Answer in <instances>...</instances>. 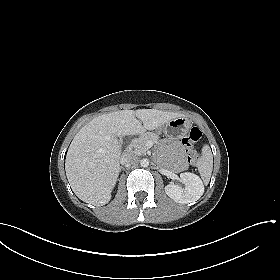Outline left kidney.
Masks as SVG:
<instances>
[{"instance_id": "1", "label": "left kidney", "mask_w": 280, "mask_h": 280, "mask_svg": "<svg viewBox=\"0 0 280 280\" xmlns=\"http://www.w3.org/2000/svg\"><path fill=\"white\" fill-rule=\"evenodd\" d=\"M180 181L185 184L184 188L172 183L165 186V193L175 202L188 204L197 201L203 195L204 185L196 174L181 173Z\"/></svg>"}]
</instances>
